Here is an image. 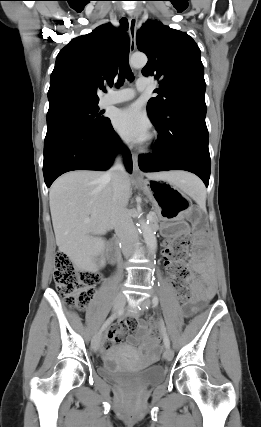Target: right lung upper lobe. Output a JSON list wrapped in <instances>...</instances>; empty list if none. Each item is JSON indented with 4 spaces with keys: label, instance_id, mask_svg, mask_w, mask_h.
I'll list each match as a JSON object with an SVG mask.
<instances>
[{
    "label": "right lung upper lobe",
    "instance_id": "cb5924a9",
    "mask_svg": "<svg viewBox=\"0 0 261 427\" xmlns=\"http://www.w3.org/2000/svg\"><path fill=\"white\" fill-rule=\"evenodd\" d=\"M125 36L121 28L108 23L71 40L56 58L48 91L49 109L98 104L97 89L113 85Z\"/></svg>",
    "mask_w": 261,
    "mask_h": 427
}]
</instances>
